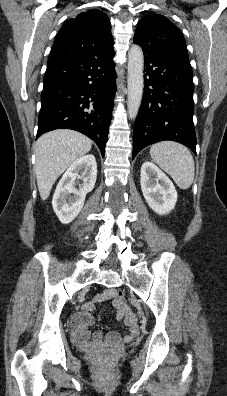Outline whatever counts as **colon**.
Returning a JSON list of instances; mask_svg holds the SVG:
<instances>
[{"label":"colon","mask_w":227,"mask_h":396,"mask_svg":"<svg viewBox=\"0 0 227 396\" xmlns=\"http://www.w3.org/2000/svg\"><path fill=\"white\" fill-rule=\"evenodd\" d=\"M117 298L120 299V300H123L124 299V294L121 291H119L117 293Z\"/></svg>","instance_id":"5ec220e1"}]
</instances>
